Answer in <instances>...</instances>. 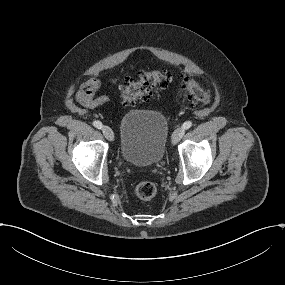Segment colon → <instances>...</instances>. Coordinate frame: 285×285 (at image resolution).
<instances>
[{"instance_id":"colon-1","label":"colon","mask_w":285,"mask_h":285,"mask_svg":"<svg viewBox=\"0 0 285 285\" xmlns=\"http://www.w3.org/2000/svg\"><path fill=\"white\" fill-rule=\"evenodd\" d=\"M173 75L165 69L142 71L136 78H128L120 86V99L126 106H133L145 100L170 84ZM185 96L191 103L207 104L210 94L192 77L181 75ZM135 196L142 201H149L156 196L157 188L150 181H140L134 188Z\"/></svg>"}]
</instances>
